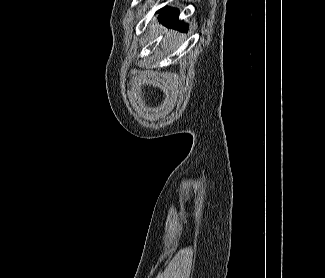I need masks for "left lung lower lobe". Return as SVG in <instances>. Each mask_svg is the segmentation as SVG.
Segmentation results:
<instances>
[{
	"instance_id": "1",
	"label": "left lung lower lobe",
	"mask_w": 325,
	"mask_h": 278,
	"mask_svg": "<svg viewBox=\"0 0 325 278\" xmlns=\"http://www.w3.org/2000/svg\"><path fill=\"white\" fill-rule=\"evenodd\" d=\"M156 13H159L158 20L160 23L168 27L179 29L182 32L187 31V25L178 20V10L165 7Z\"/></svg>"
}]
</instances>
